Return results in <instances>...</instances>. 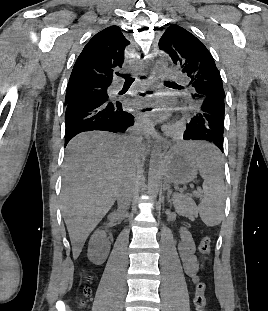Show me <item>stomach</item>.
I'll return each mask as SVG.
<instances>
[{
  "label": "stomach",
  "instance_id": "0dacf381",
  "mask_svg": "<svg viewBox=\"0 0 268 311\" xmlns=\"http://www.w3.org/2000/svg\"><path fill=\"white\" fill-rule=\"evenodd\" d=\"M192 147L174 146L162 159V167L168 181L187 184L197 176V164L192 156Z\"/></svg>",
  "mask_w": 268,
  "mask_h": 311
}]
</instances>
